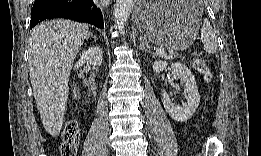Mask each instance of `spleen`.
Listing matches in <instances>:
<instances>
[{
    "instance_id": "spleen-1",
    "label": "spleen",
    "mask_w": 261,
    "mask_h": 156,
    "mask_svg": "<svg viewBox=\"0 0 261 156\" xmlns=\"http://www.w3.org/2000/svg\"><path fill=\"white\" fill-rule=\"evenodd\" d=\"M201 40L204 45V50L208 54H214L217 50V37L214 33L210 22L204 19L203 26L201 28Z\"/></svg>"
}]
</instances>
